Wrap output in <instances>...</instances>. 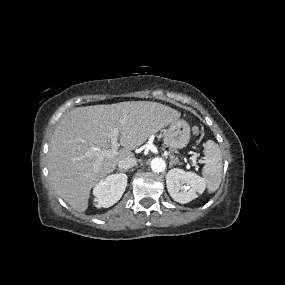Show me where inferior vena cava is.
Segmentation results:
<instances>
[{"label": "inferior vena cava", "instance_id": "obj_1", "mask_svg": "<svg viewBox=\"0 0 285 285\" xmlns=\"http://www.w3.org/2000/svg\"><path fill=\"white\" fill-rule=\"evenodd\" d=\"M137 165V159L136 158H126L118 163V167L120 170H128L134 166Z\"/></svg>", "mask_w": 285, "mask_h": 285}]
</instances>
